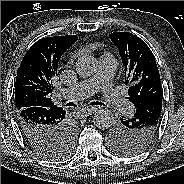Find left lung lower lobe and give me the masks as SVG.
Listing matches in <instances>:
<instances>
[{
  "mask_svg": "<svg viewBox=\"0 0 184 184\" xmlns=\"http://www.w3.org/2000/svg\"><path fill=\"white\" fill-rule=\"evenodd\" d=\"M162 109V99H150L145 103L141 104L136 108V113L134 114V119L137 122H146L150 117L152 118L155 114H159ZM150 116V117H148ZM149 122V121H148Z\"/></svg>",
  "mask_w": 184,
  "mask_h": 184,
  "instance_id": "0a47b994",
  "label": "left lung lower lobe"
}]
</instances>
